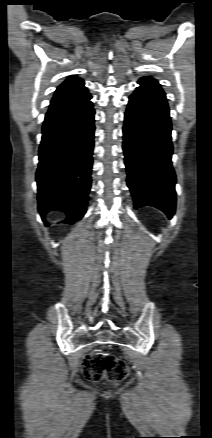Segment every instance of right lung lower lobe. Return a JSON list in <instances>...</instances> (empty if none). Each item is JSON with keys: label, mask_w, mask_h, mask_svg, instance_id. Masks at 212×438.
Here are the masks:
<instances>
[{"label": "right lung lower lobe", "mask_w": 212, "mask_h": 438, "mask_svg": "<svg viewBox=\"0 0 212 438\" xmlns=\"http://www.w3.org/2000/svg\"><path fill=\"white\" fill-rule=\"evenodd\" d=\"M90 99L88 93L50 104L43 123L36 172L41 216L59 210L68 216L65 223H74L86 212L95 130V111Z\"/></svg>", "instance_id": "right-lung-lower-lobe-1"}]
</instances>
